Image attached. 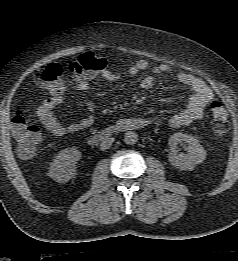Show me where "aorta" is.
Masks as SVG:
<instances>
[{
    "label": "aorta",
    "mask_w": 238,
    "mask_h": 261,
    "mask_svg": "<svg viewBox=\"0 0 238 261\" xmlns=\"http://www.w3.org/2000/svg\"><path fill=\"white\" fill-rule=\"evenodd\" d=\"M138 141V135L137 133L133 131L126 132L124 135V142L127 145H133Z\"/></svg>",
    "instance_id": "762f6f07"
}]
</instances>
